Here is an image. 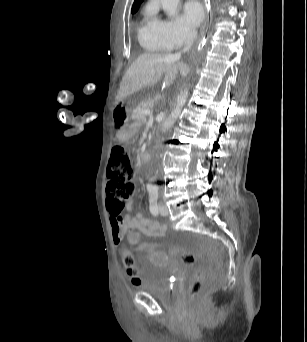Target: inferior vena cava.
Masks as SVG:
<instances>
[{"label":"inferior vena cava","mask_w":307,"mask_h":342,"mask_svg":"<svg viewBox=\"0 0 307 342\" xmlns=\"http://www.w3.org/2000/svg\"><path fill=\"white\" fill-rule=\"evenodd\" d=\"M197 32L195 30H191V32H188L186 38H185V48H183L182 52L185 54V52H189L191 50L195 40H196ZM182 52H178V56H181ZM189 70H183L181 72V76H187Z\"/></svg>","instance_id":"obj_1"}]
</instances>
